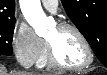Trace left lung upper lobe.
<instances>
[{
	"label": "left lung upper lobe",
	"instance_id": "left-lung-upper-lobe-1",
	"mask_svg": "<svg viewBox=\"0 0 107 75\" xmlns=\"http://www.w3.org/2000/svg\"><path fill=\"white\" fill-rule=\"evenodd\" d=\"M64 9L97 55L105 50L107 67V0H61Z\"/></svg>",
	"mask_w": 107,
	"mask_h": 75
}]
</instances>
